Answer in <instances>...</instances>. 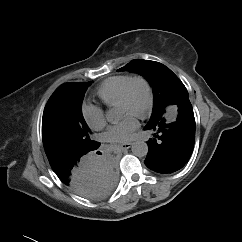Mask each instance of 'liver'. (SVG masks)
I'll use <instances>...</instances> for the list:
<instances>
[{"label":"liver","instance_id":"obj_1","mask_svg":"<svg viewBox=\"0 0 242 242\" xmlns=\"http://www.w3.org/2000/svg\"><path fill=\"white\" fill-rule=\"evenodd\" d=\"M102 187H103L102 182L99 180H96V178H93L91 181H88L85 184V188L83 187L81 190H77L76 192L82 196H85L86 194H90L94 196L100 192Z\"/></svg>","mask_w":242,"mask_h":242}]
</instances>
